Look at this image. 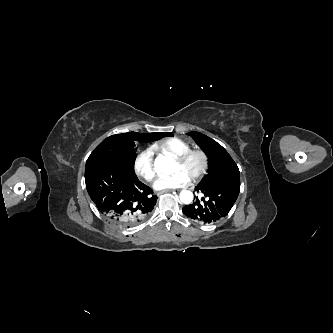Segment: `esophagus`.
Here are the masks:
<instances>
[{
    "label": "esophagus",
    "mask_w": 333,
    "mask_h": 333,
    "mask_svg": "<svg viewBox=\"0 0 333 333\" xmlns=\"http://www.w3.org/2000/svg\"><path fill=\"white\" fill-rule=\"evenodd\" d=\"M172 191H173V190H169V189H167V190H163V191L158 192L157 195L159 196V195H161V194H163V193L172 192Z\"/></svg>",
    "instance_id": "obj_1"
}]
</instances>
